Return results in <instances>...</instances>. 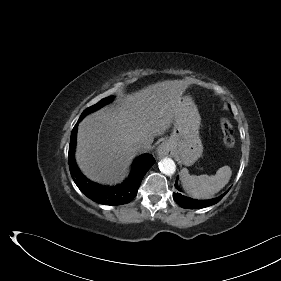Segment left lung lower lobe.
I'll return each instance as SVG.
<instances>
[{"mask_svg":"<svg viewBox=\"0 0 281 281\" xmlns=\"http://www.w3.org/2000/svg\"><path fill=\"white\" fill-rule=\"evenodd\" d=\"M175 186L177 187V182L175 183ZM177 189L180 191L178 187ZM226 193L227 192H225L224 194H222L217 198L210 199V200H195L190 197L184 196L181 193H174L173 199L177 202L178 205H180L183 208L197 209V208H205L218 203L226 195Z\"/></svg>","mask_w":281,"mask_h":281,"instance_id":"0a47b994","label":"left lung lower lobe"}]
</instances>
